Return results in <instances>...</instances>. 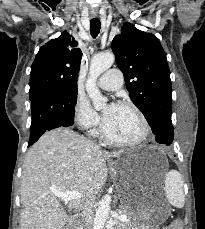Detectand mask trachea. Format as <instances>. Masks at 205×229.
<instances>
[{
  "label": "trachea",
  "mask_w": 205,
  "mask_h": 229,
  "mask_svg": "<svg viewBox=\"0 0 205 229\" xmlns=\"http://www.w3.org/2000/svg\"><path fill=\"white\" fill-rule=\"evenodd\" d=\"M100 28H101V23L100 20L98 18H93L90 21V33L92 35V37H97L99 32H100Z\"/></svg>",
  "instance_id": "obj_1"
}]
</instances>
